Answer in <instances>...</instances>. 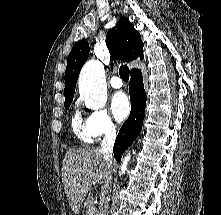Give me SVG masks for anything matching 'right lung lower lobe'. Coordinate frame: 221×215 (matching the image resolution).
I'll list each match as a JSON object with an SVG mask.
<instances>
[{
  "mask_svg": "<svg viewBox=\"0 0 221 215\" xmlns=\"http://www.w3.org/2000/svg\"><path fill=\"white\" fill-rule=\"evenodd\" d=\"M129 93L131 100L130 116L122 125L114 144V157L117 161H120L121 154L137 138L142 128L147 97L142 74L138 69L131 70Z\"/></svg>",
  "mask_w": 221,
  "mask_h": 215,
  "instance_id": "right-lung-lower-lobe-1",
  "label": "right lung lower lobe"
}]
</instances>
